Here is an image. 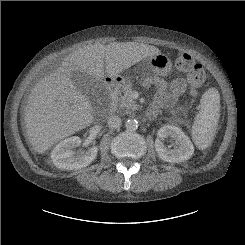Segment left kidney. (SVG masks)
<instances>
[{
	"mask_svg": "<svg viewBox=\"0 0 245 245\" xmlns=\"http://www.w3.org/2000/svg\"><path fill=\"white\" fill-rule=\"evenodd\" d=\"M167 137L175 142L174 148L165 146L163 139ZM155 149L160 159L170 163L188 160L194 153V146L188 136L179 127L173 125H165L158 130Z\"/></svg>",
	"mask_w": 245,
	"mask_h": 245,
	"instance_id": "obj_1",
	"label": "left kidney"
}]
</instances>
